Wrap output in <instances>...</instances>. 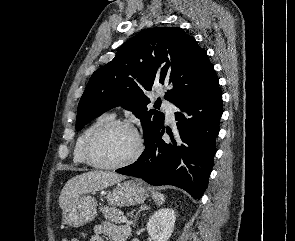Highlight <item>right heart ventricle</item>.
Returning <instances> with one entry per match:
<instances>
[{
	"mask_svg": "<svg viewBox=\"0 0 295 241\" xmlns=\"http://www.w3.org/2000/svg\"><path fill=\"white\" fill-rule=\"evenodd\" d=\"M114 119H115V115L113 113H103L99 115L98 117H96L94 120H92L82 130V132L77 137L75 145H74L73 161L75 164L80 166L88 165L84 155V149H85V145L88 138L99 126Z\"/></svg>",
	"mask_w": 295,
	"mask_h": 241,
	"instance_id": "1",
	"label": "right heart ventricle"
}]
</instances>
